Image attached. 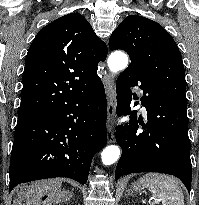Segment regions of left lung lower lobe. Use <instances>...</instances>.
<instances>
[{"label": "left lung lower lobe", "mask_w": 199, "mask_h": 205, "mask_svg": "<svg viewBox=\"0 0 199 205\" xmlns=\"http://www.w3.org/2000/svg\"><path fill=\"white\" fill-rule=\"evenodd\" d=\"M138 84L143 94H147L141 98L147 110L146 123H138L136 111H131L130 107V87ZM116 89L117 115L130 114L129 123L116 129V141L122 148L115 172L116 181L131 173L160 172L178 177L190 193L192 164L187 103L149 87L132 65L120 74Z\"/></svg>", "instance_id": "obj_1"}]
</instances>
